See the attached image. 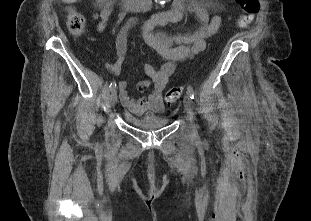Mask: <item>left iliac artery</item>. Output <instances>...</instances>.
<instances>
[{
	"mask_svg": "<svg viewBox=\"0 0 311 221\" xmlns=\"http://www.w3.org/2000/svg\"><path fill=\"white\" fill-rule=\"evenodd\" d=\"M187 93L191 99H194V97H195L194 90L190 85L187 87Z\"/></svg>",
	"mask_w": 311,
	"mask_h": 221,
	"instance_id": "1",
	"label": "left iliac artery"
}]
</instances>
